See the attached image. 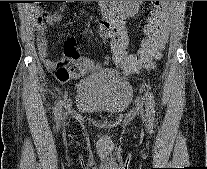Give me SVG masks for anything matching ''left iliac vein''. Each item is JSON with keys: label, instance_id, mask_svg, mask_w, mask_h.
<instances>
[{"label": "left iliac vein", "instance_id": "obj_1", "mask_svg": "<svg viewBox=\"0 0 207 169\" xmlns=\"http://www.w3.org/2000/svg\"><path fill=\"white\" fill-rule=\"evenodd\" d=\"M142 119L144 120V121H146V116H145V114L142 112Z\"/></svg>", "mask_w": 207, "mask_h": 169}]
</instances>
